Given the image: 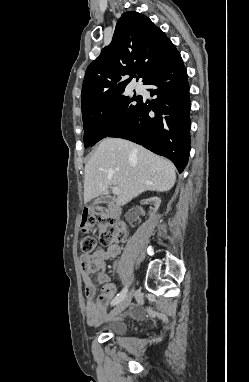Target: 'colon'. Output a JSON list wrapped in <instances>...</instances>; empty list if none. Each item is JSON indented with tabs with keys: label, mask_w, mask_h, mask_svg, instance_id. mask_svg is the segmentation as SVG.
Here are the masks:
<instances>
[{
	"label": "colon",
	"mask_w": 249,
	"mask_h": 382,
	"mask_svg": "<svg viewBox=\"0 0 249 382\" xmlns=\"http://www.w3.org/2000/svg\"><path fill=\"white\" fill-rule=\"evenodd\" d=\"M101 227L100 243L111 245L124 240V225L117 221L116 217L108 213L101 207L84 209L81 215V229L91 230L96 224ZM96 246V240L91 236H86L81 241V248L84 252H92Z\"/></svg>",
	"instance_id": "obj_1"
}]
</instances>
